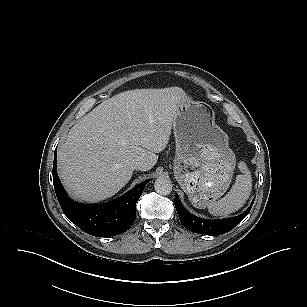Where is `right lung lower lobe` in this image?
<instances>
[{
	"label": "right lung lower lobe",
	"mask_w": 307,
	"mask_h": 307,
	"mask_svg": "<svg viewBox=\"0 0 307 307\" xmlns=\"http://www.w3.org/2000/svg\"><path fill=\"white\" fill-rule=\"evenodd\" d=\"M54 153L53 183L57 199L64 214L81 230L96 237H110L128 230L136 218V203L148 179L122 197L104 204L88 205L72 201L64 190L56 173Z\"/></svg>",
	"instance_id": "obj_1"
}]
</instances>
